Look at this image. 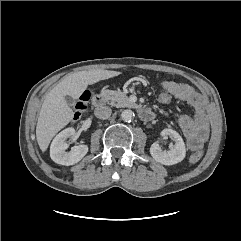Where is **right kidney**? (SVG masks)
I'll list each match as a JSON object with an SVG mask.
<instances>
[{
  "instance_id": "obj_1",
  "label": "right kidney",
  "mask_w": 241,
  "mask_h": 241,
  "mask_svg": "<svg viewBox=\"0 0 241 241\" xmlns=\"http://www.w3.org/2000/svg\"><path fill=\"white\" fill-rule=\"evenodd\" d=\"M75 136L74 128H66L53 139L50 146L51 159L61 165H74L79 162L88 152L87 145L73 146L69 152H66L68 145L66 140Z\"/></svg>"
}]
</instances>
